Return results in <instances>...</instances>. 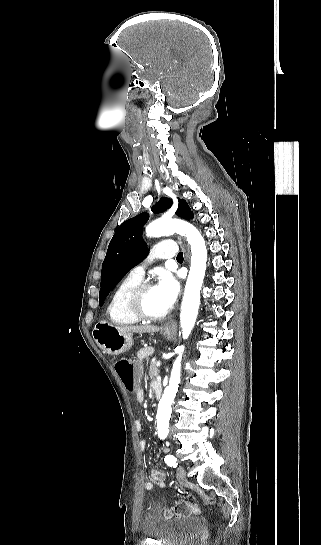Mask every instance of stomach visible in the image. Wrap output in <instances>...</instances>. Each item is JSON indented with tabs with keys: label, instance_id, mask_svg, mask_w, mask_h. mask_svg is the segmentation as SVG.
Masks as SVG:
<instances>
[{
	"label": "stomach",
	"instance_id": "stomach-1",
	"mask_svg": "<svg viewBox=\"0 0 321 545\" xmlns=\"http://www.w3.org/2000/svg\"><path fill=\"white\" fill-rule=\"evenodd\" d=\"M164 335L171 339L173 329H162ZM93 339L98 347L108 355H120L129 351L134 345L132 333H121L107 321H98L93 329Z\"/></svg>",
	"mask_w": 321,
	"mask_h": 545
}]
</instances>
